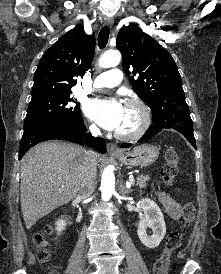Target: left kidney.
Masks as SVG:
<instances>
[{"mask_svg": "<svg viewBox=\"0 0 221 274\" xmlns=\"http://www.w3.org/2000/svg\"><path fill=\"white\" fill-rule=\"evenodd\" d=\"M144 216L138 224L137 234L140 241L148 248L154 249L159 246L166 234V225L163 214L158 205L151 199L145 198L140 201ZM147 227L151 228L152 235H147Z\"/></svg>", "mask_w": 221, "mask_h": 274, "instance_id": "5707ae66", "label": "left kidney"}]
</instances>
